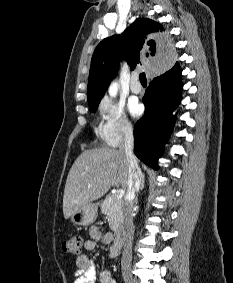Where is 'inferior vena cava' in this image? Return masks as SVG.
<instances>
[{
    "label": "inferior vena cava",
    "mask_w": 233,
    "mask_h": 283,
    "mask_svg": "<svg viewBox=\"0 0 233 283\" xmlns=\"http://www.w3.org/2000/svg\"><path fill=\"white\" fill-rule=\"evenodd\" d=\"M134 136L131 126H127L124 132L123 143L119 151L123 152L127 158L129 167L128 187L123 205V215L127 230L126 241L123 248L121 266L123 270H128L132 261V243L134 236L133 207L136 193L139 191L142 182V172L138 166L137 159L133 153Z\"/></svg>",
    "instance_id": "1"
}]
</instances>
